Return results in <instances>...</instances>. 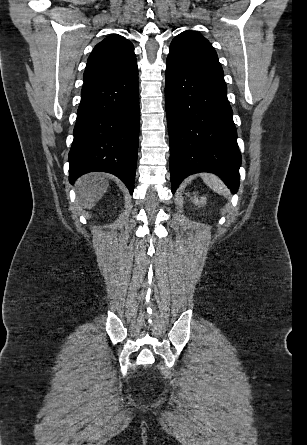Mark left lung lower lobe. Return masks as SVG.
Instances as JSON below:
<instances>
[{"label":"left lung lower lobe","mask_w":307,"mask_h":445,"mask_svg":"<svg viewBox=\"0 0 307 445\" xmlns=\"http://www.w3.org/2000/svg\"><path fill=\"white\" fill-rule=\"evenodd\" d=\"M165 102L172 192L188 175L212 172L236 193L241 155L226 87L167 58Z\"/></svg>","instance_id":"0a47b994"}]
</instances>
